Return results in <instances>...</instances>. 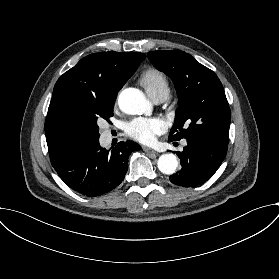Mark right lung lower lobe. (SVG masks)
<instances>
[{"mask_svg": "<svg viewBox=\"0 0 279 279\" xmlns=\"http://www.w3.org/2000/svg\"><path fill=\"white\" fill-rule=\"evenodd\" d=\"M140 147L133 141L119 142L111 152L94 141L54 165L59 177L78 193L96 197L116 188L128 169L129 155Z\"/></svg>", "mask_w": 279, "mask_h": 279, "instance_id": "obj_1", "label": "right lung lower lobe"}]
</instances>
